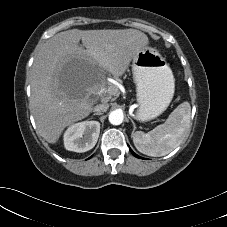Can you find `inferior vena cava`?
<instances>
[{"instance_id": "602c4592", "label": "inferior vena cava", "mask_w": 227, "mask_h": 227, "mask_svg": "<svg viewBox=\"0 0 227 227\" xmlns=\"http://www.w3.org/2000/svg\"><path fill=\"white\" fill-rule=\"evenodd\" d=\"M108 108H109L108 103L104 101L102 104L96 105L93 110L94 112L101 113L107 111Z\"/></svg>"}]
</instances>
